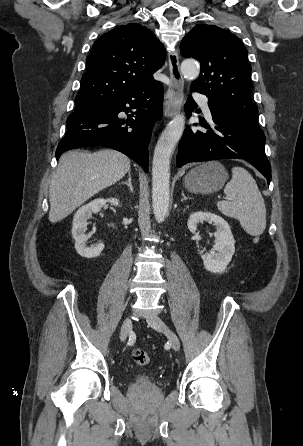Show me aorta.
<instances>
[{
    "label": "aorta",
    "mask_w": 303,
    "mask_h": 446,
    "mask_svg": "<svg viewBox=\"0 0 303 446\" xmlns=\"http://www.w3.org/2000/svg\"><path fill=\"white\" fill-rule=\"evenodd\" d=\"M181 72L187 79L199 76V65L193 60L181 64ZM185 128V116L176 115L162 132L153 155L152 162V207L155 219L163 222L169 208L170 159L176 144Z\"/></svg>",
    "instance_id": "1"
}]
</instances>
